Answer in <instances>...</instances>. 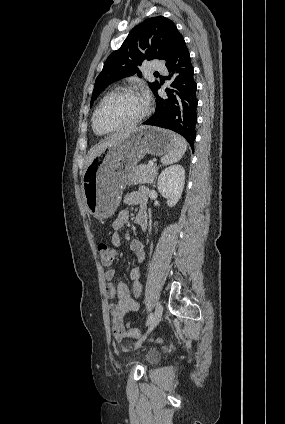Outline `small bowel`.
I'll use <instances>...</instances> for the list:
<instances>
[{"mask_svg":"<svg viewBox=\"0 0 285 424\" xmlns=\"http://www.w3.org/2000/svg\"><path fill=\"white\" fill-rule=\"evenodd\" d=\"M147 193L148 189L146 187H141L136 191L126 194L124 197V203L126 205H137L140 207L134 221L142 230H145L148 226V216L144 209L147 200ZM129 219V211L122 210L113 221L112 228L114 233L112 235L111 242L114 246L118 247L121 245L122 239L120 232L129 222ZM130 247L137 262V265H135L130 271V278L133 281L132 289H130L128 285L122 281L118 284H114V280L117 275V271L115 269H109L106 272L105 294L108 299L114 300V302L109 305V311L113 317L111 331L116 340H122L127 336H131L129 333L131 324L124 323L123 317L130 312L137 311L139 308L137 298L139 297L142 288L140 282V264L145 259V250L143 243L138 239L132 240Z\"/></svg>","mask_w":285,"mask_h":424,"instance_id":"small-bowel-1","label":"small bowel"}]
</instances>
